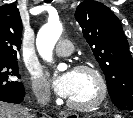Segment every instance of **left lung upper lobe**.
<instances>
[{"label": "left lung upper lobe", "mask_w": 133, "mask_h": 118, "mask_svg": "<svg viewBox=\"0 0 133 118\" xmlns=\"http://www.w3.org/2000/svg\"><path fill=\"white\" fill-rule=\"evenodd\" d=\"M75 18L105 75L112 102L119 109L133 110V60L120 20L94 0L80 3Z\"/></svg>", "instance_id": "left-lung-upper-lobe-1"}]
</instances>
